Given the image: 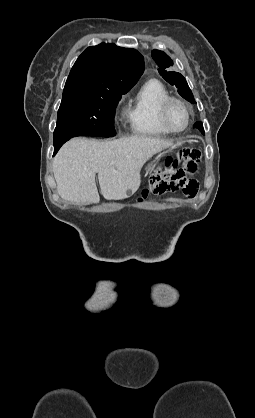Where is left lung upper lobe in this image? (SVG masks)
Instances as JSON below:
<instances>
[{
	"label": "left lung upper lobe",
	"instance_id": "5c2ea615",
	"mask_svg": "<svg viewBox=\"0 0 255 418\" xmlns=\"http://www.w3.org/2000/svg\"><path fill=\"white\" fill-rule=\"evenodd\" d=\"M152 58L159 66L160 75L171 85H175L178 88L179 94L191 103H196L193 94L187 84L186 79L178 72L167 71V68L173 65L171 58L163 51L153 50L151 52ZM204 134V129H199Z\"/></svg>",
	"mask_w": 255,
	"mask_h": 418
}]
</instances>
